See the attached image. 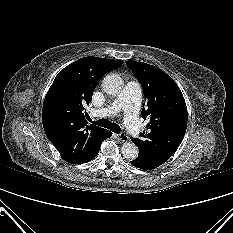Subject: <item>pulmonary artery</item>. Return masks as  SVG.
Here are the masks:
<instances>
[{"mask_svg":"<svg viewBox=\"0 0 233 233\" xmlns=\"http://www.w3.org/2000/svg\"><path fill=\"white\" fill-rule=\"evenodd\" d=\"M140 92L139 83L137 81H129L121 93L108 107L94 111L93 115L106 117L115 115L119 111L124 110L125 125L129 133L137 138L140 133V125L138 121Z\"/></svg>","mask_w":233,"mask_h":233,"instance_id":"obj_1","label":"pulmonary artery"}]
</instances>
